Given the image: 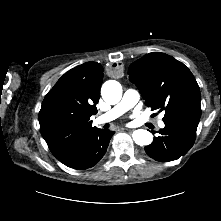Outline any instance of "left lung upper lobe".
I'll use <instances>...</instances> for the list:
<instances>
[{
  "instance_id": "5c2ea615",
  "label": "left lung upper lobe",
  "mask_w": 221,
  "mask_h": 221,
  "mask_svg": "<svg viewBox=\"0 0 221 221\" xmlns=\"http://www.w3.org/2000/svg\"><path fill=\"white\" fill-rule=\"evenodd\" d=\"M129 79L152 110L165 111L163 121L199 118L201 96L191 71L175 58L160 52L134 62Z\"/></svg>"
}]
</instances>
